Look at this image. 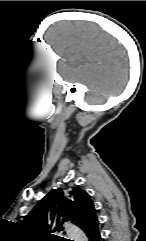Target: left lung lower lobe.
I'll use <instances>...</instances> for the list:
<instances>
[{
	"instance_id": "1",
	"label": "left lung lower lobe",
	"mask_w": 146,
	"mask_h": 241,
	"mask_svg": "<svg viewBox=\"0 0 146 241\" xmlns=\"http://www.w3.org/2000/svg\"><path fill=\"white\" fill-rule=\"evenodd\" d=\"M98 225L99 221L97 219L83 228V231L88 237L89 241H100L101 236L98 230Z\"/></svg>"
}]
</instances>
